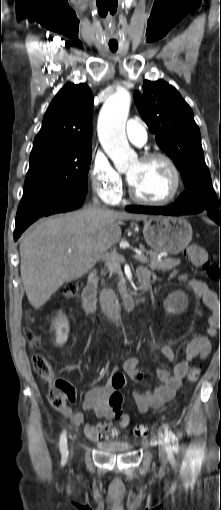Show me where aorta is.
I'll return each mask as SVG.
<instances>
[{"mask_svg": "<svg viewBox=\"0 0 221 510\" xmlns=\"http://www.w3.org/2000/svg\"><path fill=\"white\" fill-rule=\"evenodd\" d=\"M130 104V93L125 89H119L105 101L98 117L100 143L119 171L125 170L130 159L134 157L125 134ZM103 302L106 311L112 317L121 319V304L113 291H104Z\"/></svg>", "mask_w": 221, "mask_h": 510, "instance_id": "762f6f07", "label": "aorta"}]
</instances>
